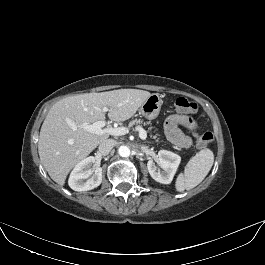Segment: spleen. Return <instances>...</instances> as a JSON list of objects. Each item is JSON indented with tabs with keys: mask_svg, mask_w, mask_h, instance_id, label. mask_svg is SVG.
I'll list each match as a JSON object with an SVG mask.
<instances>
[{
	"mask_svg": "<svg viewBox=\"0 0 265 265\" xmlns=\"http://www.w3.org/2000/svg\"><path fill=\"white\" fill-rule=\"evenodd\" d=\"M214 163L213 152L206 148L199 151L187 163L184 173L176 179L175 188L178 192L190 190L200 184L209 173Z\"/></svg>",
	"mask_w": 265,
	"mask_h": 265,
	"instance_id": "3e777b00",
	"label": "spleen"
}]
</instances>
